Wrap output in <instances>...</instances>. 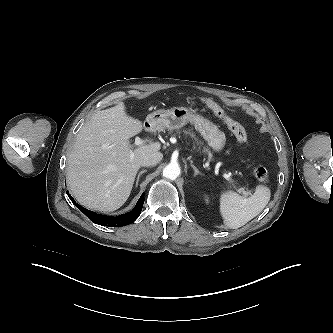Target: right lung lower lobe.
I'll return each mask as SVG.
<instances>
[{"label": "right lung lower lobe", "instance_id": "98d812e1", "mask_svg": "<svg viewBox=\"0 0 333 333\" xmlns=\"http://www.w3.org/2000/svg\"><path fill=\"white\" fill-rule=\"evenodd\" d=\"M69 198L71 199L72 203L82 211L93 223L102 226H110V227H117V226H125L127 224H131L134 222L141 213L143 203H144V194L141 195L139 198L136 206L134 209L126 214H122L116 217L105 216L101 214H97L95 212L89 211L79 204L75 202V200L71 197V195L67 192Z\"/></svg>", "mask_w": 333, "mask_h": 333}]
</instances>
